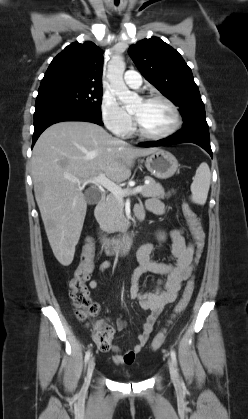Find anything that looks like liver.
Instances as JSON below:
<instances>
[{
	"label": "liver",
	"instance_id": "6515ba94",
	"mask_svg": "<svg viewBox=\"0 0 248 419\" xmlns=\"http://www.w3.org/2000/svg\"><path fill=\"white\" fill-rule=\"evenodd\" d=\"M157 150L135 148L90 122H60L41 134L33 148L32 179L48 241L60 264L72 263L87 210L82 186L73 180L103 173L123 182L137 157Z\"/></svg>",
	"mask_w": 248,
	"mask_h": 419
}]
</instances>
